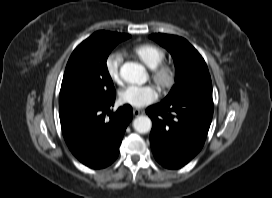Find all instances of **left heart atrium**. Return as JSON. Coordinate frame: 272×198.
Segmentation results:
<instances>
[{
  "mask_svg": "<svg viewBox=\"0 0 272 198\" xmlns=\"http://www.w3.org/2000/svg\"><path fill=\"white\" fill-rule=\"evenodd\" d=\"M157 99V91L151 85H129L119 92V101L122 104L141 108L153 103Z\"/></svg>",
  "mask_w": 272,
  "mask_h": 198,
  "instance_id": "obj_1",
  "label": "left heart atrium"
}]
</instances>
